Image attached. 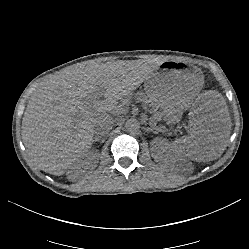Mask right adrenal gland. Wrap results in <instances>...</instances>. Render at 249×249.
<instances>
[{"mask_svg": "<svg viewBox=\"0 0 249 249\" xmlns=\"http://www.w3.org/2000/svg\"><path fill=\"white\" fill-rule=\"evenodd\" d=\"M104 135H105V134L100 133V134H98L97 136H95V138H94V140H93V143L98 142L101 138L104 137Z\"/></svg>", "mask_w": 249, "mask_h": 249, "instance_id": "right-adrenal-gland-1", "label": "right adrenal gland"}]
</instances>
